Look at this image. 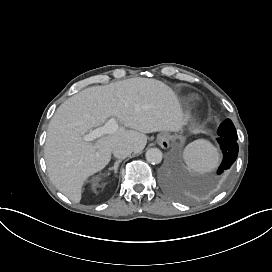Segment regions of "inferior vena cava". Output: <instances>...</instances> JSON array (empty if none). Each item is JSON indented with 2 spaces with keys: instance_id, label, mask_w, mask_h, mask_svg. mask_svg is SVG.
<instances>
[{
  "instance_id": "inferior-vena-cava-1",
  "label": "inferior vena cava",
  "mask_w": 272,
  "mask_h": 272,
  "mask_svg": "<svg viewBox=\"0 0 272 272\" xmlns=\"http://www.w3.org/2000/svg\"><path fill=\"white\" fill-rule=\"evenodd\" d=\"M132 152V146L126 143L117 144L113 147V155L120 159L128 157Z\"/></svg>"
}]
</instances>
